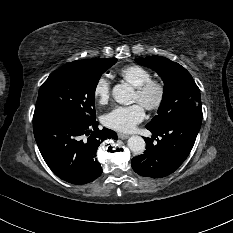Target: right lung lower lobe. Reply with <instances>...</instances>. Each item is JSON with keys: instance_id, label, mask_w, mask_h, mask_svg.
I'll return each instance as SVG.
<instances>
[{"instance_id": "right-lung-lower-lobe-1", "label": "right lung lower lobe", "mask_w": 233, "mask_h": 233, "mask_svg": "<svg viewBox=\"0 0 233 233\" xmlns=\"http://www.w3.org/2000/svg\"><path fill=\"white\" fill-rule=\"evenodd\" d=\"M98 122L56 114L33 117L34 136L43 159L59 178L72 184H86L97 179L101 165L96 159L99 145L117 134Z\"/></svg>"}]
</instances>
